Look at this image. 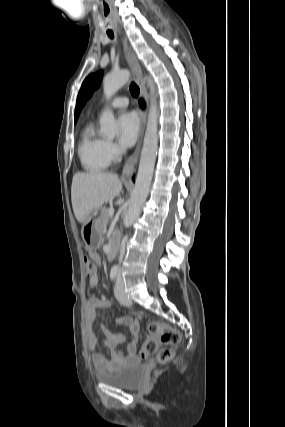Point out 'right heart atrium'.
Returning <instances> with one entry per match:
<instances>
[{"instance_id": "obj_1", "label": "right heart atrium", "mask_w": 285, "mask_h": 427, "mask_svg": "<svg viewBox=\"0 0 285 427\" xmlns=\"http://www.w3.org/2000/svg\"><path fill=\"white\" fill-rule=\"evenodd\" d=\"M107 151L111 160H116L120 155L119 147L112 141L107 142Z\"/></svg>"}]
</instances>
